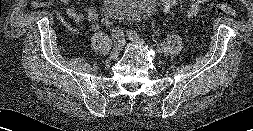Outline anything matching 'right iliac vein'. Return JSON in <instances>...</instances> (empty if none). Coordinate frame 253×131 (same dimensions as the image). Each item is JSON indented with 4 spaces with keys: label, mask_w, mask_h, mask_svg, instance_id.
<instances>
[{
    "label": "right iliac vein",
    "mask_w": 253,
    "mask_h": 131,
    "mask_svg": "<svg viewBox=\"0 0 253 131\" xmlns=\"http://www.w3.org/2000/svg\"><path fill=\"white\" fill-rule=\"evenodd\" d=\"M123 46H124V42H118L114 48L112 49V51L110 52V58L111 59H116L119 54L121 53L122 49H123Z\"/></svg>",
    "instance_id": "right-iliac-vein-1"
}]
</instances>
